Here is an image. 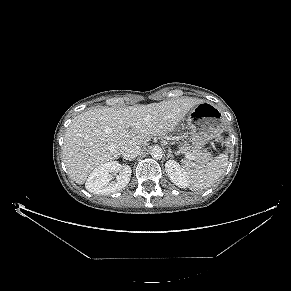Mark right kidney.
<instances>
[{
    "label": "right kidney",
    "instance_id": "right-kidney-1",
    "mask_svg": "<svg viewBox=\"0 0 291 291\" xmlns=\"http://www.w3.org/2000/svg\"><path fill=\"white\" fill-rule=\"evenodd\" d=\"M116 181L111 173H118ZM131 168L121 165L117 161H110L95 168L89 175L85 187L94 194H110L122 190L130 181Z\"/></svg>",
    "mask_w": 291,
    "mask_h": 291
}]
</instances>
